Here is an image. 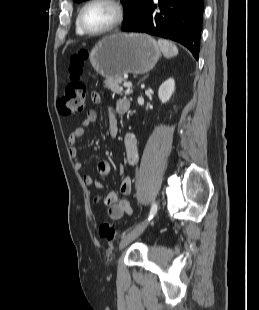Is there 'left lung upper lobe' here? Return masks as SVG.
<instances>
[{"instance_id": "left-lung-upper-lobe-1", "label": "left lung upper lobe", "mask_w": 259, "mask_h": 310, "mask_svg": "<svg viewBox=\"0 0 259 310\" xmlns=\"http://www.w3.org/2000/svg\"><path fill=\"white\" fill-rule=\"evenodd\" d=\"M79 3L85 0H74ZM126 11V17L123 24H128L139 17L150 0H121Z\"/></svg>"}]
</instances>
